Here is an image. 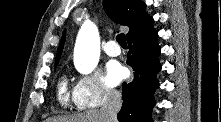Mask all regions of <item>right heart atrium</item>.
Listing matches in <instances>:
<instances>
[{"label":"right heart atrium","instance_id":"right-heart-atrium-1","mask_svg":"<svg viewBox=\"0 0 221 122\" xmlns=\"http://www.w3.org/2000/svg\"><path fill=\"white\" fill-rule=\"evenodd\" d=\"M118 97V92L109 87L97 71L80 77L72 92L73 102L78 109L96 108Z\"/></svg>","mask_w":221,"mask_h":122}]
</instances>
